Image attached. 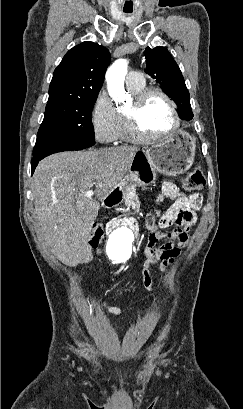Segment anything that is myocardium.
Returning a JSON list of instances; mask_svg holds the SVG:
<instances>
[{"mask_svg":"<svg viewBox=\"0 0 243 409\" xmlns=\"http://www.w3.org/2000/svg\"><path fill=\"white\" fill-rule=\"evenodd\" d=\"M159 95L162 97L169 105L173 123L172 126L164 133L158 135L146 134L140 126L139 123V112L144 105V103L152 96ZM124 119L126 126L131 138L137 142H154L163 139L171 134H173L180 126V116L177 110V105L175 101L163 90L159 88H147L143 89L141 92L134 95L132 102V108L130 111L124 113Z\"/></svg>","mask_w":243,"mask_h":409,"instance_id":"myocardium-1","label":"myocardium"}]
</instances>
